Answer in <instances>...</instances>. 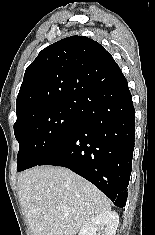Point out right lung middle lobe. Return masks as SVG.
<instances>
[{
	"mask_svg": "<svg viewBox=\"0 0 155 235\" xmlns=\"http://www.w3.org/2000/svg\"><path fill=\"white\" fill-rule=\"evenodd\" d=\"M81 125L78 108L70 106L45 105L18 116L14 124L20 145L17 170L38 165Z\"/></svg>",
	"mask_w": 155,
	"mask_h": 235,
	"instance_id": "1",
	"label": "right lung middle lobe"
}]
</instances>
